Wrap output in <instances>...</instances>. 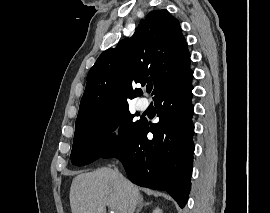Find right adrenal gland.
I'll list each match as a JSON object with an SVG mask.
<instances>
[{"label": "right adrenal gland", "mask_w": 270, "mask_h": 213, "mask_svg": "<svg viewBox=\"0 0 270 213\" xmlns=\"http://www.w3.org/2000/svg\"><path fill=\"white\" fill-rule=\"evenodd\" d=\"M149 205H151V203H146V202H144L143 200H141V201L139 202V204H138V208H137V210H136V213H139V212L142 210L143 207L149 206Z\"/></svg>", "instance_id": "obj_1"}]
</instances>
